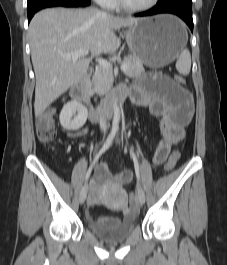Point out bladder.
Returning <instances> with one entry per match:
<instances>
[{"label": "bladder", "mask_w": 227, "mask_h": 265, "mask_svg": "<svg viewBox=\"0 0 227 265\" xmlns=\"http://www.w3.org/2000/svg\"><path fill=\"white\" fill-rule=\"evenodd\" d=\"M88 228L105 242H119L128 238L135 229V218L124 217L114 222L88 219Z\"/></svg>", "instance_id": "obj_1"}]
</instances>
